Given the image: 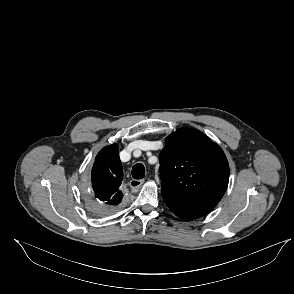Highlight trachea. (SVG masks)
I'll list each match as a JSON object with an SVG mask.
<instances>
[{"mask_svg":"<svg viewBox=\"0 0 294 294\" xmlns=\"http://www.w3.org/2000/svg\"><path fill=\"white\" fill-rule=\"evenodd\" d=\"M132 176L135 179H142L145 176V168L144 165L138 163L132 167Z\"/></svg>","mask_w":294,"mask_h":294,"instance_id":"3493384b","label":"trachea"}]
</instances>
